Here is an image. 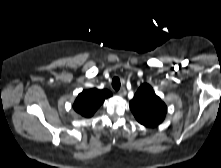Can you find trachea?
Returning <instances> with one entry per match:
<instances>
[{
	"mask_svg": "<svg viewBox=\"0 0 221 168\" xmlns=\"http://www.w3.org/2000/svg\"><path fill=\"white\" fill-rule=\"evenodd\" d=\"M120 85H121L120 79H119L118 77L113 78V80H112V87H113L116 91H118V90L120 89Z\"/></svg>",
	"mask_w": 221,
	"mask_h": 168,
	"instance_id": "trachea-1",
	"label": "trachea"
}]
</instances>
